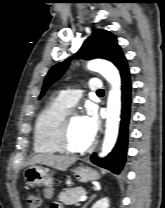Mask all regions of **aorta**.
<instances>
[{"instance_id":"1","label":"aorta","mask_w":165,"mask_h":208,"mask_svg":"<svg viewBox=\"0 0 165 208\" xmlns=\"http://www.w3.org/2000/svg\"><path fill=\"white\" fill-rule=\"evenodd\" d=\"M87 68L99 72L111 84L107 102L106 131L100 157L106 156L114 147L118 137L121 111V80L117 68L109 61L95 59L88 63Z\"/></svg>"}]
</instances>
